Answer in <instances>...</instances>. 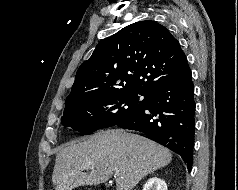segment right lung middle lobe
Returning <instances> with one entry per match:
<instances>
[{
	"label": "right lung middle lobe",
	"mask_w": 238,
	"mask_h": 190,
	"mask_svg": "<svg viewBox=\"0 0 238 190\" xmlns=\"http://www.w3.org/2000/svg\"><path fill=\"white\" fill-rule=\"evenodd\" d=\"M144 97L142 102H138V93L131 92L81 95L64 110L61 122L63 126L71 127L82 134L112 127L140 110L146 102V96Z\"/></svg>",
	"instance_id": "1"
}]
</instances>
